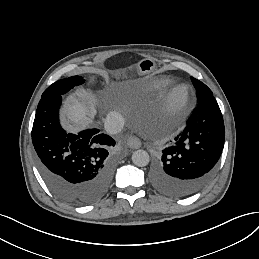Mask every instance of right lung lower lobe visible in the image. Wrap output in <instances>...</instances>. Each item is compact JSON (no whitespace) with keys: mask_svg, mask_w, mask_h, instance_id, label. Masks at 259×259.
Masks as SVG:
<instances>
[{"mask_svg":"<svg viewBox=\"0 0 259 259\" xmlns=\"http://www.w3.org/2000/svg\"><path fill=\"white\" fill-rule=\"evenodd\" d=\"M62 96L42 98L32 128L36 164L50 189L61 200L87 205L109 191L114 165L109 151L115 141L98 129L66 133L59 124Z\"/></svg>","mask_w":259,"mask_h":259,"instance_id":"1","label":"right lung lower lobe"}]
</instances>
